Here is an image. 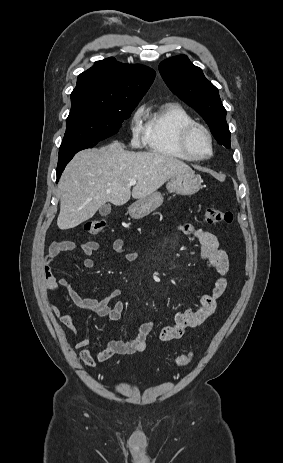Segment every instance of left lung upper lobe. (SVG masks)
<instances>
[{
  "label": "left lung upper lobe",
  "mask_w": 283,
  "mask_h": 463,
  "mask_svg": "<svg viewBox=\"0 0 283 463\" xmlns=\"http://www.w3.org/2000/svg\"><path fill=\"white\" fill-rule=\"evenodd\" d=\"M159 71L170 90L203 117L217 142L229 148L226 110L218 89L206 79L202 70L187 56L180 55L161 62Z\"/></svg>",
  "instance_id": "5c2ea615"
}]
</instances>
